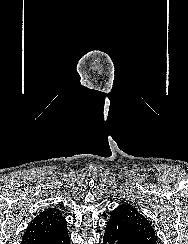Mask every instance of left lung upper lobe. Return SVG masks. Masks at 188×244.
I'll list each match as a JSON object with an SVG mask.
<instances>
[{
	"label": "left lung upper lobe",
	"mask_w": 188,
	"mask_h": 244,
	"mask_svg": "<svg viewBox=\"0 0 188 244\" xmlns=\"http://www.w3.org/2000/svg\"><path fill=\"white\" fill-rule=\"evenodd\" d=\"M113 212H116L142 240L149 244H157V236L153 226L136 208L130 204H122Z\"/></svg>",
	"instance_id": "5c2ea615"
}]
</instances>
